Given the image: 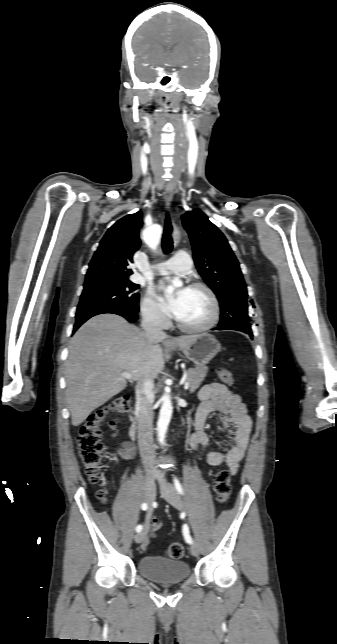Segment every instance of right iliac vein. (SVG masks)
I'll list each match as a JSON object with an SVG mask.
<instances>
[{"mask_svg": "<svg viewBox=\"0 0 337 644\" xmlns=\"http://www.w3.org/2000/svg\"><path fill=\"white\" fill-rule=\"evenodd\" d=\"M156 496V486H155V480L153 477H149L146 480L145 484V489H144V500L146 503L151 505L155 499ZM147 530L144 529L138 534L135 535L134 540L136 543H141L144 538L146 537Z\"/></svg>", "mask_w": 337, "mask_h": 644, "instance_id": "right-iliac-vein-1", "label": "right iliac vein"}]
</instances>
